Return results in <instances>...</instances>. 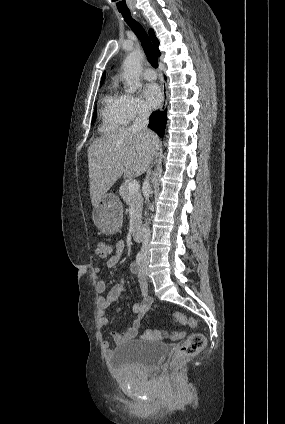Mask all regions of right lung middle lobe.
Wrapping results in <instances>:
<instances>
[{
  "mask_svg": "<svg viewBox=\"0 0 285 424\" xmlns=\"http://www.w3.org/2000/svg\"><path fill=\"white\" fill-rule=\"evenodd\" d=\"M96 113H97V111H96V108H95L94 115H93V118H92V124L94 123V121L96 119Z\"/></svg>",
  "mask_w": 285,
  "mask_h": 424,
  "instance_id": "obj_1",
  "label": "right lung middle lobe"
}]
</instances>
